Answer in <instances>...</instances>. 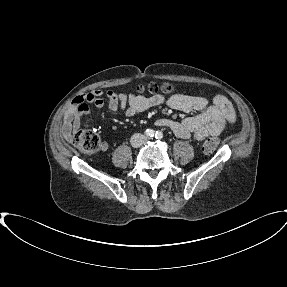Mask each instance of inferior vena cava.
<instances>
[{
    "label": "inferior vena cava",
    "instance_id": "inferior-vena-cava-1",
    "mask_svg": "<svg viewBox=\"0 0 287 287\" xmlns=\"http://www.w3.org/2000/svg\"><path fill=\"white\" fill-rule=\"evenodd\" d=\"M146 137L142 134H134L132 135L131 137V145L134 146V147H140L145 141H146Z\"/></svg>",
    "mask_w": 287,
    "mask_h": 287
}]
</instances>
